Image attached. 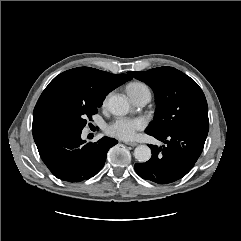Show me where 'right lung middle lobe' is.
<instances>
[{"instance_id":"1","label":"right lung middle lobe","mask_w":241,"mask_h":241,"mask_svg":"<svg viewBox=\"0 0 241 241\" xmlns=\"http://www.w3.org/2000/svg\"><path fill=\"white\" fill-rule=\"evenodd\" d=\"M102 103H84L64 96H53L36 104L33 112V132L56 128L83 129L97 113Z\"/></svg>"}]
</instances>
